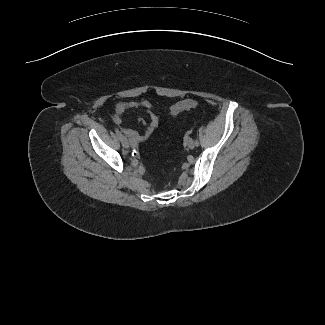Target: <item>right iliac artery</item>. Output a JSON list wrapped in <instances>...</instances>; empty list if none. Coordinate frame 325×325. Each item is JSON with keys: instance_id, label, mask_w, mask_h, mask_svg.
<instances>
[{"instance_id": "1", "label": "right iliac artery", "mask_w": 325, "mask_h": 325, "mask_svg": "<svg viewBox=\"0 0 325 325\" xmlns=\"http://www.w3.org/2000/svg\"><path fill=\"white\" fill-rule=\"evenodd\" d=\"M115 132H116L117 136L119 137V139H121L123 136L122 133L117 128H115Z\"/></svg>"}]
</instances>
